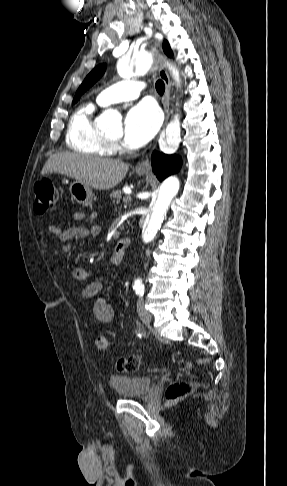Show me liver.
<instances>
[{
  "label": "liver",
  "instance_id": "6515ba94",
  "mask_svg": "<svg viewBox=\"0 0 287 486\" xmlns=\"http://www.w3.org/2000/svg\"><path fill=\"white\" fill-rule=\"evenodd\" d=\"M128 168L120 160L64 152L50 156L41 174L59 173L95 189L108 190L122 181Z\"/></svg>",
  "mask_w": 287,
  "mask_h": 486
}]
</instances>
